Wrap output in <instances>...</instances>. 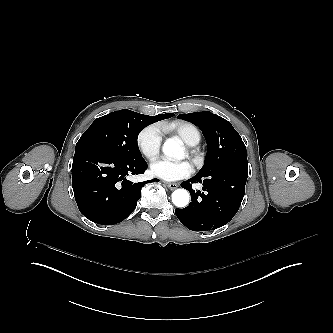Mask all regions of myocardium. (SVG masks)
<instances>
[{"label": "myocardium", "instance_id": "myocardium-1", "mask_svg": "<svg viewBox=\"0 0 333 333\" xmlns=\"http://www.w3.org/2000/svg\"><path fill=\"white\" fill-rule=\"evenodd\" d=\"M191 156L195 161H198V159H199L198 151L195 148L191 149Z\"/></svg>", "mask_w": 333, "mask_h": 333}]
</instances>
